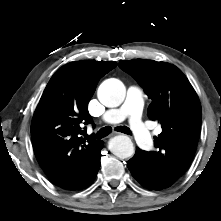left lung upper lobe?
I'll return each mask as SVG.
<instances>
[{"label":"left lung upper lobe","mask_w":221,"mask_h":221,"mask_svg":"<svg viewBox=\"0 0 221 221\" xmlns=\"http://www.w3.org/2000/svg\"><path fill=\"white\" fill-rule=\"evenodd\" d=\"M119 67L136 79L152 100L148 117L158 120L162 133L147 152L160 182L171 186L188 169L201 127L199 98L186 76L174 65L153 60L120 61Z\"/></svg>","instance_id":"obj_1"}]
</instances>
